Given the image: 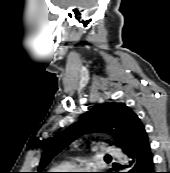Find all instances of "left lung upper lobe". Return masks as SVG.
Here are the masks:
<instances>
[{"label": "left lung upper lobe", "instance_id": "left-lung-upper-lobe-1", "mask_svg": "<svg viewBox=\"0 0 170 173\" xmlns=\"http://www.w3.org/2000/svg\"><path fill=\"white\" fill-rule=\"evenodd\" d=\"M97 131L112 134L116 141L114 144L124 153L149 140L138 116L124 103L98 104L78 122L47 143L37 173H43L41 171L50 160L77 137Z\"/></svg>", "mask_w": 170, "mask_h": 173}]
</instances>
